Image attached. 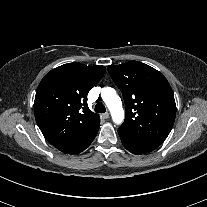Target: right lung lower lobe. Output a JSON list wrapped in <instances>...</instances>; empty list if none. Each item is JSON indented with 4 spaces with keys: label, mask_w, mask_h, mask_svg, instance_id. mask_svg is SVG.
<instances>
[{
    "label": "right lung lower lobe",
    "mask_w": 207,
    "mask_h": 207,
    "mask_svg": "<svg viewBox=\"0 0 207 207\" xmlns=\"http://www.w3.org/2000/svg\"><path fill=\"white\" fill-rule=\"evenodd\" d=\"M98 129H99V127L94 129L90 133L84 135L83 137H81L72 146H70L64 150H61V151L66 154H78V153L82 152L84 149H86L92 143L93 139L95 138V136L98 132Z\"/></svg>",
    "instance_id": "98d812e1"
}]
</instances>
